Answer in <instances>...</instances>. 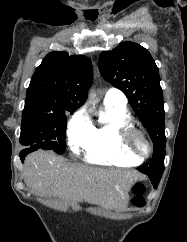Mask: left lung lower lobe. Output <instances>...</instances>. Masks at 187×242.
Masks as SVG:
<instances>
[{
    "mask_svg": "<svg viewBox=\"0 0 187 242\" xmlns=\"http://www.w3.org/2000/svg\"><path fill=\"white\" fill-rule=\"evenodd\" d=\"M148 177L150 178L151 182H152V185L154 186V188H157L158 184H159V181L161 179V175H152V174H147Z\"/></svg>",
    "mask_w": 187,
    "mask_h": 242,
    "instance_id": "obj_1",
    "label": "left lung lower lobe"
}]
</instances>
